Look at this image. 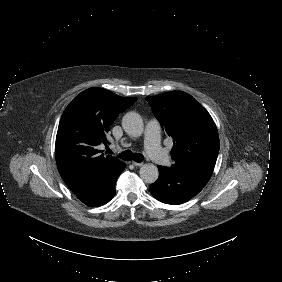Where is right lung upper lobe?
Masks as SVG:
<instances>
[{
	"mask_svg": "<svg viewBox=\"0 0 282 282\" xmlns=\"http://www.w3.org/2000/svg\"><path fill=\"white\" fill-rule=\"evenodd\" d=\"M136 100L93 87L67 106L58 127L55 156L59 173L72 192L80 191L94 176L123 164L111 155L100 154L97 146L108 143L109 127Z\"/></svg>",
	"mask_w": 282,
	"mask_h": 282,
	"instance_id": "right-lung-upper-lobe-1",
	"label": "right lung upper lobe"
}]
</instances>
